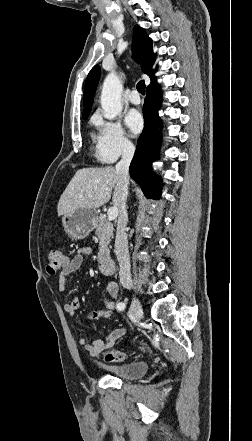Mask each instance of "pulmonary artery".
<instances>
[{
	"instance_id": "e3ab8cb5",
	"label": "pulmonary artery",
	"mask_w": 252,
	"mask_h": 441,
	"mask_svg": "<svg viewBox=\"0 0 252 441\" xmlns=\"http://www.w3.org/2000/svg\"><path fill=\"white\" fill-rule=\"evenodd\" d=\"M128 100L130 103L134 104V105H138L140 104L141 100H140V96L136 91H132L129 96H128Z\"/></svg>"
}]
</instances>
